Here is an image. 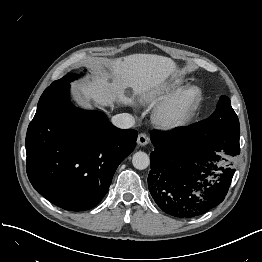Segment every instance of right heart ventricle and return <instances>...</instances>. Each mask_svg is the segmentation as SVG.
Wrapping results in <instances>:
<instances>
[{"instance_id": "e07e8e85", "label": "right heart ventricle", "mask_w": 262, "mask_h": 262, "mask_svg": "<svg viewBox=\"0 0 262 262\" xmlns=\"http://www.w3.org/2000/svg\"><path fill=\"white\" fill-rule=\"evenodd\" d=\"M183 83L184 80L181 78L171 79L152 91L147 98L155 102L166 100L175 94L182 87Z\"/></svg>"}]
</instances>
